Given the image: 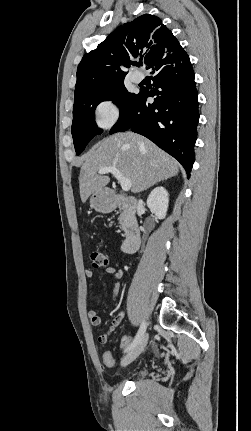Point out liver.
<instances>
[{
	"label": "liver",
	"instance_id": "6515ba94",
	"mask_svg": "<svg viewBox=\"0 0 251 431\" xmlns=\"http://www.w3.org/2000/svg\"><path fill=\"white\" fill-rule=\"evenodd\" d=\"M104 167H115L130 179L133 193L179 172L178 162L147 138L132 132L116 133L100 141L83 158L79 175L83 203L109 183L108 176L97 173Z\"/></svg>",
	"mask_w": 251,
	"mask_h": 431
}]
</instances>
